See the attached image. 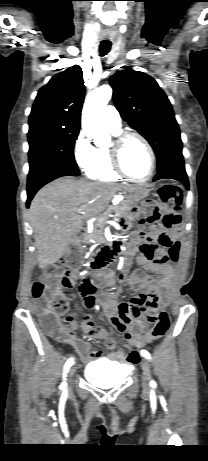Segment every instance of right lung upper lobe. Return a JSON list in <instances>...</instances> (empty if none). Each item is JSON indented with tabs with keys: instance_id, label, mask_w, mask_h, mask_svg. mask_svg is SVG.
<instances>
[{
	"instance_id": "right-lung-upper-lobe-1",
	"label": "right lung upper lobe",
	"mask_w": 208,
	"mask_h": 461,
	"mask_svg": "<svg viewBox=\"0 0 208 461\" xmlns=\"http://www.w3.org/2000/svg\"><path fill=\"white\" fill-rule=\"evenodd\" d=\"M85 87L79 66L56 74L36 96L29 119L48 118L80 126Z\"/></svg>"
}]
</instances>
